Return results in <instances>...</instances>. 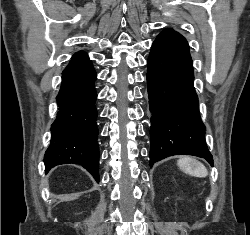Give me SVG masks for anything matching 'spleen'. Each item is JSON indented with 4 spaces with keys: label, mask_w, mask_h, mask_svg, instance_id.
Listing matches in <instances>:
<instances>
[{
    "label": "spleen",
    "mask_w": 250,
    "mask_h": 235,
    "mask_svg": "<svg viewBox=\"0 0 250 235\" xmlns=\"http://www.w3.org/2000/svg\"><path fill=\"white\" fill-rule=\"evenodd\" d=\"M177 165L180 170L191 176L206 177L208 175L206 167L201 162L190 157L180 158Z\"/></svg>",
    "instance_id": "1"
}]
</instances>
